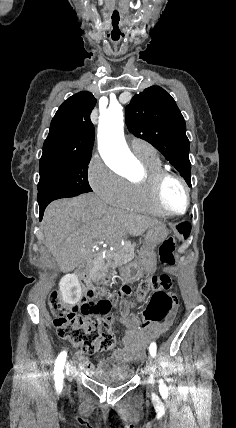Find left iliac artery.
Returning <instances> with one entry per match:
<instances>
[{"label": "left iliac artery", "mask_w": 236, "mask_h": 428, "mask_svg": "<svg viewBox=\"0 0 236 428\" xmlns=\"http://www.w3.org/2000/svg\"><path fill=\"white\" fill-rule=\"evenodd\" d=\"M156 349H157L156 344L154 342L151 343L150 347H149V352H150L152 357L156 356Z\"/></svg>", "instance_id": "44dca946"}]
</instances>
